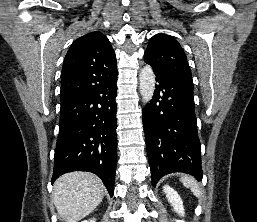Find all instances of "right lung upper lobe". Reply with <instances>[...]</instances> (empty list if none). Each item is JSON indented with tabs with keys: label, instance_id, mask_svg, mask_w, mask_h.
Wrapping results in <instances>:
<instances>
[{
	"label": "right lung upper lobe",
	"instance_id": "obj_1",
	"mask_svg": "<svg viewBox=\"0 0 257 222\" xmlns=\"http://www.w3.org/2000/svg\"><path fill=\"white\" fill-rule=\"evenodd\" d=\"M115 52L108 38L99 31L75 40L63 62L61 105L90 92L117 71Z\"/></svg>",
	"mask_w": 257,
	"mask_h": 222
}]
</instances>
